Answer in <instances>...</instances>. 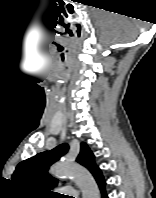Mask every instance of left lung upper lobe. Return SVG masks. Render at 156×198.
<instances>
[{
    "label": "left lung upper lobe",
    "instance_id": "left-lung-upper-lobe-1",
    "mask_svg": "<svg viewBox=\"0 0 156 198\" xmlns=\"http://www.w3.org/2000/svg\"><path fill=\"white\" fill-rule=\"evenodd\" d=\"M68 149L67 144H61L51 151L39 153L32 158L22 161L18 164L12 175V181L23 188L31 190L35 194H50V189L52 186L57 185L58 182L48 174V169ZM94 159L95 157L89 147L84 142L81 143V150L76 161L86 167L95 177L100 169L95 164Z\"/></svg>",
    "mask_w": 156,
    "mask_h": 198
}]
</instances>
